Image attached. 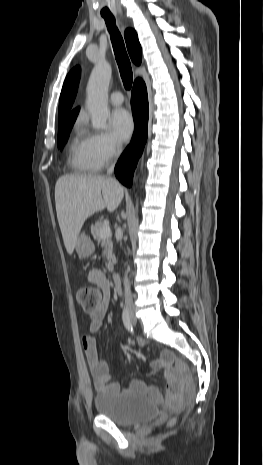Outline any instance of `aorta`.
I'll return each instance as SVG.
<instances>
[{
	"mask_svg": "<svg viewBox=\"0 0 263 465\" xmlns=\"http://www.w3.org/2000/svg\"><path fill=\"white\" fill-rule=\"evenodd\" d=\"M112 75V68L108 62H98L90 75L87 85V107L91 115L94 129L107 128L109 117L108 87Z\"/></svg>",
	"mask_w": 263,
	"mask_h": 465,
	"instance_id": "762f6f07",
	"label": "aorta"
}]
</instances>
